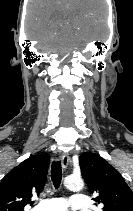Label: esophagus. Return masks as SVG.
<instances>
[{
  "label": "esophagus",
  "mask_w": 133,
  "mask_h": 211,
  "mask_svg": "<svg viewBox=\"0 0 133 211\" xmlns=\"http://www.w3.org/2000/svg\"><path fill=\"white\" fill-rule=\"evenodd\" d=\"M60 160H61V163H62V167L63 168H67L68 164H69V156L67 154H61L60 156Z\"/></svg>",
  "instance_id": "1"
}]
</instances>
